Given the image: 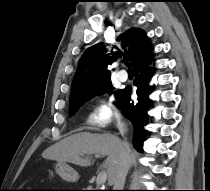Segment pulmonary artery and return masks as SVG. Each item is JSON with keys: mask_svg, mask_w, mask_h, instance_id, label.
I'll return each instance as SVG.
<instances>
[{"mask_svg": "<svg viewBox=\"0 0 210 191\" xmlns=\"http://www.w3.org/2000/svg\"><path fill=\"white\" fill-rule=\"evenodd\" d=\"M118 78L120 81L125 82L128 79V74L125 71H120L118 73Z\"/></svg>", "mask_w": 210, "mask_h": 191, "instance_id": "obj_1", "label": "pulmonary artery"}]
</instances>
